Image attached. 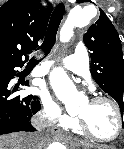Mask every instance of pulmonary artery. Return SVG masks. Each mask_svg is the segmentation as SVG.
<instances>
[{
	"label": "pulmonary artery",
	"mask_w": 124,
	"mask_h": 149,
	"mask_svg": "<svg viewBox=\"0 0 124 149\" xmlns=\"http://www.w3.org/2000/svg\"><path fill=\"white\" fill-rule=\"evenodd\" d=\"M62 66L77 75L83 77L87 82L91 81L89 71V60L86 48L78 45L75 48L74 54L62 61ZM49 67H37L31 73L32 76H40L48 73Z\"/></svg>",
	"instance_id": "1"
}]
</instances>
